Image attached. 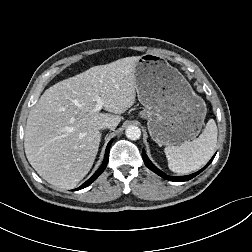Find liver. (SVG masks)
<instances>
[{"mask_svg": "<svg viewBox=\"0 0 252 252\" xmlns=\"http://www.w3.org/2000/svg\"><path fill=\"white\" fill-rule=\"evenodd\" d=\"M139 57H126L94 66L49 87L29 112L24 148L31 166L45 181L73 189L86 176L96 158L99 125L114 128L120 114L136 100L135 64ZM103 109L95 112L96 98Z\"/></svg>", "mask_w": 252, "mask_h": 252, "instance_id": "6515ba94", "label": "liver"}]
</instances>
